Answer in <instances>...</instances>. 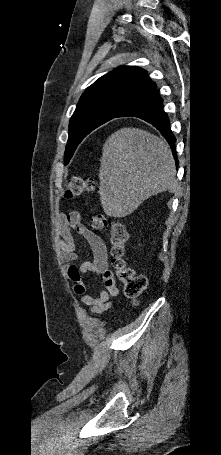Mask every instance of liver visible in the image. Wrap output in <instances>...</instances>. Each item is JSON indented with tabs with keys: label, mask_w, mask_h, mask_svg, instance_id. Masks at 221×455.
Listing matches in <instances>:
<instances>
[{
	"label": "liver",
	"mask_w": 221,
	"mask_h": 455,
	"mask_svg": "<svg viewBox=\"0 0 221 455\" xmlns=\"http://www.w3.org/2000/svg\"><path fill=\"white\" fill-rule=\"evenodd\" d=\"M176 167L165 140L124 127L106 140L99 170L100 201L106 215L122 218L150 196L174 190Z\"/></svg>",
	"instance_id": "liver-1"
}]
</instances>
